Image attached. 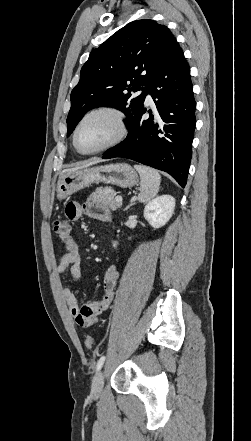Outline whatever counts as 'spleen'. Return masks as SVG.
I'll return each mask as SVG.
<instances>
[{
  "label": "spleen",
  "instance_id": "1",
  "mask_svg": "<svg viewBox=\"0 0 251 441\" xmlns=\"http://www.w3.org/2000/svg\"><path fill=\"white\" fill-rule=\"evenodd\" d=\"M134 167L141 179V192L138 195V201L146 203L158 194L161 176L158 171L150 167L144 165H135Z\"/></svg>",
  "mask_w": 251,
  "mask_h": 441
}]
</instances>
